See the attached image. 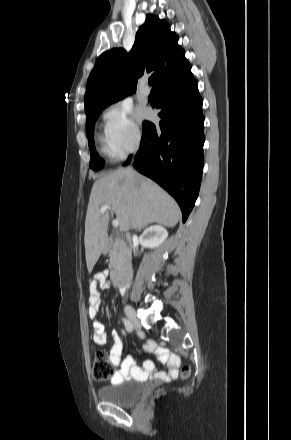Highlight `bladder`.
Masks as SVG:
<instances>
[{"instance_id": "obj_1", "label": "bladder", "mask_w": 291, "mask_h": 440, "mask_svg": "<svg viewBox=\"0 0 291 440\" xmlns=\"http://www.w3.org/2000/svg\"><path fill=\"white\" fill-rule=\"evenodd\" d=\"M141 382L135 380H124L109 386L101 387L97 391L98 397L108 403L121 407H128L136 404L142 396Z\"/></svg>"}]
</instances>
